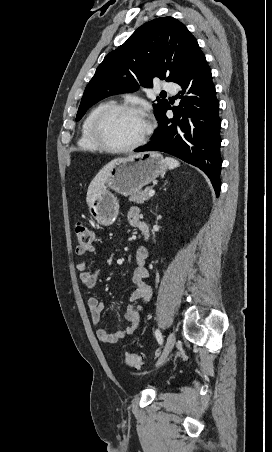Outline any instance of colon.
Returning <instances> with one entry per match:
<instances>
[{
    "label": "colon",
    "mask_w": 272,
    "mask_h": 452,
    "mask_svg": "<svg viewBox=\"0 0 272 452\" xmlns=\"http://www.w3.org/2000/svg\"><path fill=\"white\" fill-rule=\"evenodd\" d=\"M75 235H76V251L78 254H84L91 252L94 248L95 236L93 231L83 221L75 223ZM125 364L131 367H141L144 362L141 356L134 353H126Z\"/></svg>",
    "instance_id": "5ec220e1"
}]
</instances>
